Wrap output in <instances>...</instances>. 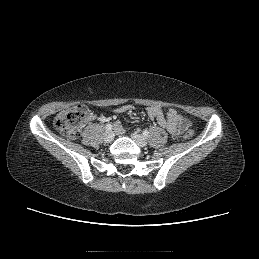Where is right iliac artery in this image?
<instances>
[{
    "mask_svg": "<svg viewBox=\"0 0 259 259\" xmlns=\"http://www.w3.org/2000/svg\"><path fill=\"white\" fill-rule=\"evenodd\" d=\"M105 128H106V130H111L112 129V125L111 124H107Z\"/></svg>",
    "mask_w": 259,
    "mask_h": 259,
    "instance_id": "1",
    "label": "right iliac artery"
}]
</instances>
